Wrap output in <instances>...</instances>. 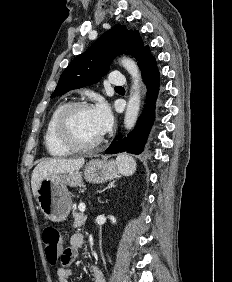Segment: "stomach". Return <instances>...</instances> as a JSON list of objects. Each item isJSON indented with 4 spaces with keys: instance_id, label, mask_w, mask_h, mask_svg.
Segmentation results:
<instances>
[{
    "instance_id": "stomach-1",
    "label": "stomach",
    "mask_w": 232,
    "mask_h": 282,
    "mask_svg": "<svg viewBox=\"0 0 232 282\" xmlns=\"http://www.w3.org/2000/svg\"><path fill=\"white\" fill-rule=\"evenodd\" d=\"M119 174L113 160L92 159L83 171L56 174L44 178L37 189L39 208L45 217L53 222H61L70 213L72 200L67 186L76 187L83 178L91 183H103L116 178Z\"/></svg>"
}]
</instances>
